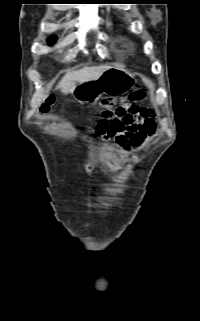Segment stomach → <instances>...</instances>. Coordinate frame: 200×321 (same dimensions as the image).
I'll use <instances>...</instances> for the list:
<instances>
[{"label": "stomach", "instance_id": "0dacf381", "mask_svg": "<svg viewBox=\"0 0 200 321\" xmlns=\"http://www.w3.org/2000/svg\"><path fill=\"white\" fill-rule=\"evenodd\" d=\"M135 76L121 67H110L98 79L79 83L72 91L73 97L87 103L101 94L117 96L127 93L134 85Z\"/></svg>", "mask_w": 200, "mask_h": 321}]
</instances>
